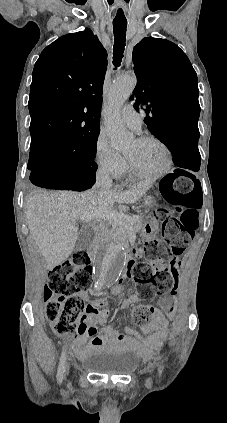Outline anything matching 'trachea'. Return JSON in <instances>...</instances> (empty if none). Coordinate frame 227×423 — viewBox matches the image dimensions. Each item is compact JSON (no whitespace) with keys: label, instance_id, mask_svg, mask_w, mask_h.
Here are the masks:
<instances>
[{"label":"trachea","instance_id":"1","mask_svg":"<svg viewBox=\"0 0 227 423\" xmlns=\"http://www.w3.org/2000/svg\"><path fill=\"white\" fill-rule=\"evenodd\" d=\"M127 20L115 18L113 20L114 46H113V65L115 69L120 66L123 58L126 44Z\"/></svg>","mask_w":227,"mask_h":423}]
</instances>
